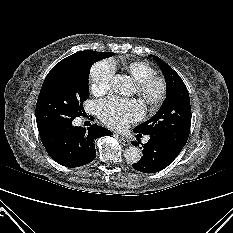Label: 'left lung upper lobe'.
Returning <instances> with one entry per match:
<instances>
[{
    "instance_id": "left-lung-upper-lobe-1",
    "label": "left lung upper lobe",
    "mask_w": 233,
    "mask_h": 233,
    "mask_svg": "<svg viewBox=\"0 0 233 233\" xmlns=\"http://www.w3.org/2000/svg\"><path fill=\"white\" fill-rule=\"evenodd\" d=\"M153 57L160 67L166 83V98L158 112L148 121L136 126L135 133L160 137L182 150L191 126V107L187 88L181 77L159 57Z\"/></svg>"
}]
</instances>
